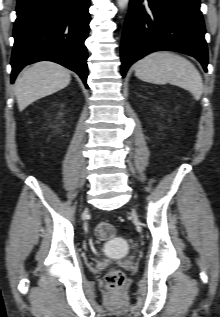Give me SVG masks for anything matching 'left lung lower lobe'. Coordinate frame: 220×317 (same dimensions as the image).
I'll use <instances>...</instances> for the list:
<instances>
[{"label": "left lung lower lobe", "mask_w": 220, "mask_h": 317, "mask_svg": "<svg viewBox=\"0 0 220 317\" xmlns=\"http://www.w3.org/2000/svg\"><path fill=\"white\" fill-rule=\"evenodd\" d=\"M200 0H130L121 45V69L146 54L173 49L195 57L207 71L208 52Z\"/></svg>", "instance_id": "1"}]
</instances>
